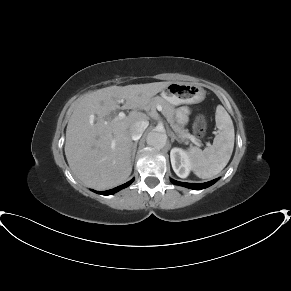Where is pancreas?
Returning a JSON list of instances; mask_svg holds the SVG:
<instances>
[{
    "label": "pancreas",
    "mask_w": 291,
    "mask_h": 291,
    "mask_svg": "<svg viewBox=\"0 0 291 291\" xmlns=\"http://www.w3.org/2000/svg\"><path fill=\"white\" fill-rule=\"evenodd\" d=\"M157 105H160L162 107V114L167 119V121L170 123L172 129L178 135V137L181 140L188 139V136L190 135L188 133V130L185 129L184 127L178 125L177 123H175V120H174L175 108L173 105L168 103L165 99H163L162 97H159V96L153 97L150 100L149 104L145 107V110L148 111ZM196 142H197V145H200L198 140H196Z\"/></svg>",
    "instance_id": "pancreas-1"
}]
</instances>
